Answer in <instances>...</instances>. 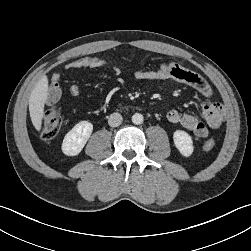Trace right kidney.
Listing matches in <instances>:
<instances>
[{
	"label": "right kidney",
	"instance_id": "ca27d5eb",
	"mask_svg": "<svg viewBox=\"0 0 251 251\" xmlns=\"http://www.w3.org/2000/svg\"><path fill=\"white\" fill-rule=\"evenodd\" d=\"M93 131V125L88 121L77 123L64 137L62 152L67 156L78 155Z\"/></svg>",
	"mask_w": 251,
	"mask_h": 251
}]
</instances>
